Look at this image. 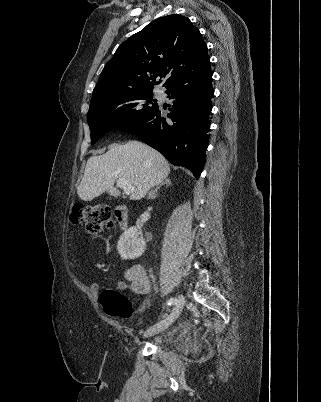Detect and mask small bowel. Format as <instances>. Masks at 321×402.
Listing matches in <instances>:
<instances>
[{
	"label": "small bowel",
	"instance_id": "c3829d8e",
	"mask_svg": "<svg viewBox=\"0 0 321 402\" xmlns=\"http://www.w3.org/2000/svg\"><path fill=\"white\" fill-rule=\"evenodd\" d=\"M117 287L120 290L130 288L136 294L145 295L150 292L151 282L144 267L137 264L127 270L124 279L117 281ZM90 288L93 292H98L99 285L92 284Z\"/></svg>",
	"mask_w": 321,
	"mask_h": 402
}]
</instances>
